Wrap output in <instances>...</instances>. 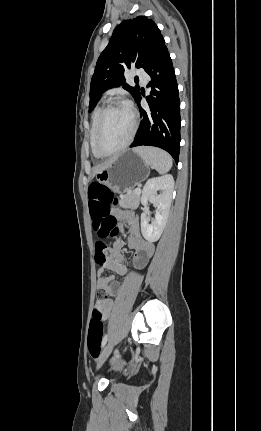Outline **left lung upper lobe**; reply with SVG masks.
Segmentation results:
<instances>
[{
	"label": "left lung upper lobe",
	"instance_id": "obj_1",
	"mask_svg": "<svg viewBox=\"0 0 261 431\" xmlns=\"http://www.w3.org/2000/svg\"><path fill=\"white\" fill-rule=\"evenodd\" d=\"M164 43L157 25L145 16L128 19L119 24L97 60L90 85L89 111L93 110L105 90L116 86L123 85L136 99L140 88L126 84L124 72L131 66L145 70L165 46Z\"/></svg>",
	"mask_w": 261,
	"mask_h": 431
}]
</instances>
